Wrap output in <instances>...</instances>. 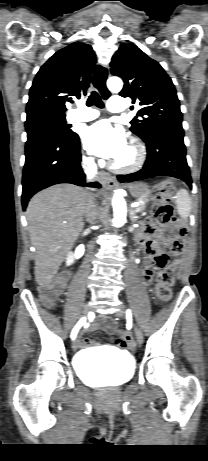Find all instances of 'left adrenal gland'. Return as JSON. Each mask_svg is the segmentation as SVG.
<instances>
[{
  "label": "left adrenal gland",
  "instance_id": "1",
  "mask_svg": "<svg viewBox=\"0 0 208 461\" xmlns=\"http://www.w3.org/2000/svg\"><path fill=\"white\" fill-rule=\"evenodd\" d=\"M136 218H137V216H136L134 210L131 208L130 209V219H131V221L135 222L137 220Z\"/></svg>",
  "mask_w": 208,
  "mask_h": 461
}]
</instances>
